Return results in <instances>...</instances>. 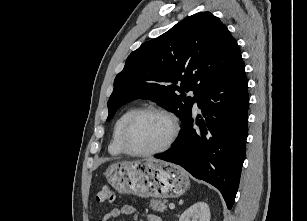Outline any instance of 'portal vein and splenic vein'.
<instances>
[{
  "mask_svg": "<svg viewBox=\"0 0 307 221\" xmlns=\"http://www.w3.org/2000/svg\"><path fill=\"white\" fill-rule=\"evenodd\" d=\"M169 208H170V209H174V208H175V205H174L173 203H170V204H169Z\"/></svg>",
  "mask_w": 307,
  "mask_h": 221,
  "instance_id": "portal-vein-and-splenic-vein-1",
  "label": "portal vein and splenic vein"
}]
</instances>
